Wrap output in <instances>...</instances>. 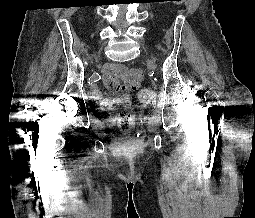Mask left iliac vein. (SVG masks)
I'll return each instance as SVG.
<instances>
[{
  "mask_svg": "<svg viewBox=\"0 0 255 218\" xmlns=\"http://www.w3.org/2000/svg\"><path fill=\"white\" fill-rule=\"evenodd\" d=\"M147 63H148V66L151 68V69H154L155 68V66H154V64H153V61H151V60H147Z\"/></svg>",
  "mask_w": 255,
  "mask_h": 218,
  "instance_id": "4c4485c4",
  "label": "left iliac vein"
}]
</instances>
